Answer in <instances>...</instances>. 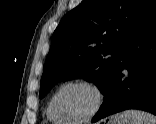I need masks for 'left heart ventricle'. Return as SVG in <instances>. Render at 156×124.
I'll use <instances>...</instances> for the list:
<instances>
[{
  "label": "left heart ventricle",
  "mask_w": 156,
  "mask_h": 124,
  "mask_svg": "<svg viewBox=\"0 0 156 124\" xmlns=\"http://www.w3.org/2000/svg\"><path fill=\"white\" fill-rule=\"evenodd\" d=\"M96 97L86 87L74 86L64 89L56 100V111L64 119H80L94 108Z\"/></svg>",
  "instance_id": "1"
}]
</instances>
